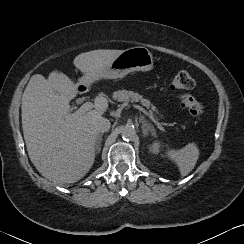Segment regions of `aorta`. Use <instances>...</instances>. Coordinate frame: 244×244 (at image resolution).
I'll return each mask as SVG.
<instances>
[{
  "mask_svg": "<svg viewBox=\"0 0 244 244\" xmlns=\"http://www.w3.org/2000/svg\"><path fill=\"white\" fill-rule=\"evenodd\" d=\"M120 133L124 140H130L135 136L136 130L131 125H125L121 128Z\"/></svg>",
  "mask_w": 244,
  "mask_h": 244,
  "instance_id": "762f6f07",
  "label": "aorta"
}]
</instances>
